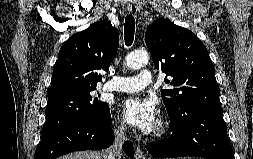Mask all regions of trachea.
I'll return each mask as SVG.
<instances>
[{
  "label": "trachea",
  "instance_id": "1",
  "mask_svg": "<svg viewBox=\"0 0 253 159\" xmlns=\"http://www.w3.org/2000/svg\"><path fill=\"white\" fill-rule=\"evenodd\" d=\"M135 33V19L132 15H127L124 24V38L127 46L132 45Z\"/></svg>",
  "mask_w": 253,
  "mask_h": 159
}]
</instances>
